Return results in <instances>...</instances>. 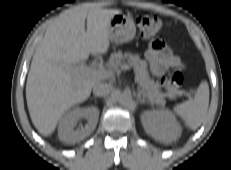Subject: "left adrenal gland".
I'll list each match as a JSON object with an SVG mask.
<instances>
[{
    "label": "left adrenal gland",
    "instance_id": "obj_1",
    "mask_svg": "<svg viewBox=\"0 0 231 170\" xmlns=\"http://www.w3.org/2000/svg\"><path fill=\"white\" fill-rule=\"evenodd\" d=\"M138 100H139L140 104L150 103V102L147 101L144 97H141L140 94H138Z\"/></svg>",
    "mask_w": 231,
    "mask_h": 170
}]
</instances>
